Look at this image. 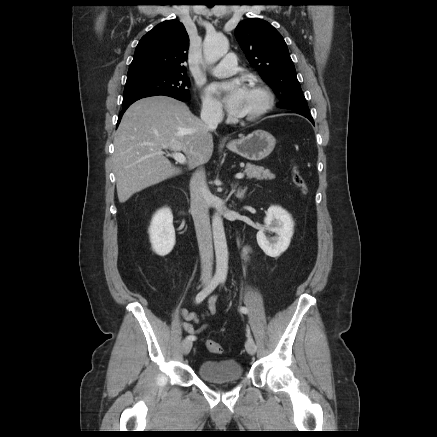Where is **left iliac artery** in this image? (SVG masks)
Returning <instances> with one entry per match:
<instances>
[{"instance_id":"44dca946","label":"left iliac artery","mask_w":437,"mask_h":437,"mask_svg":"<svg viewBox=\"0 0 437 437\" xmlns=\"http://www.w3.org/2000/svg\"><path fill=\"white\" fill-rule=\"evenodd\" d=\"M225 282V278H222L221 279V283H224ZM240 311L242 312V313H248V309L246 308V307H240Z\"/></svg>"}]
</instances>
